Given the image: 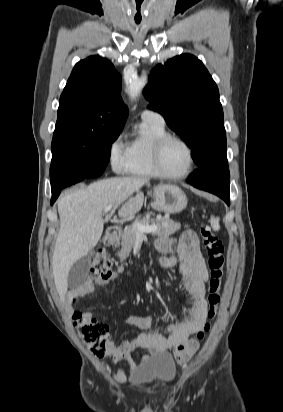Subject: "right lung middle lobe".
Wrapping results in <instances>:
<instances>
[{
	"instance_id": "obj_1",
	"label": "right lung middle lobe",
	"mask_w": 283,
	"mask_h": 412,
	"mask_svg": "<svg viewBox=\"0 0 283 412\" xmlns=\"http://www.w3.org/2000/svg\"><path fill=\"white\" fill-rule=\"evenodd\" d=\"M120 132H97L74 118L57 120L51 144V179L57 175L76 174L106 166L111 144Z\"/></svg>"
}]
</instances>
